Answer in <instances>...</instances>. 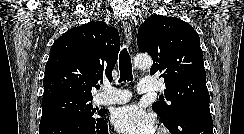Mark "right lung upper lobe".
Listing matches in <instances>:
<instances>
[{"instance_id":"1","label":"right lung upper lobe","mask_w":244,"mask_h":134,"mask_svg":"<svg viewBox=\"0 0 244 134\" xmlns=\"http://www.w3.org/2000/svg\"><path fill=\"white\" fill-rule=\"evenodd\" d=\"M119 49L118 31L103 21L68 30L50 49L42 100L61 96L93 99L92 86L103 77L112 79Z\"/></svg>"}]
</instances>
